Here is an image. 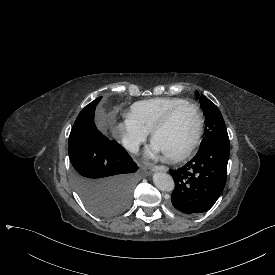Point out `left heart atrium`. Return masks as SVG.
<instances>
[{
  "label": "left heart atrium",
  "instance_id": "39dd6f15",
  "mask_svg": "<svg viewBox=\"0 0 275 275\" xmlns=\"http://www.w3.org/2000/svg\"><path fill=\"white\" fill-rule=\"evenodd\" d=\"M158 154H161V151L155 145L152 144L151 151H150L149 155L156 156Z\"/></svg>",
  "mask_w": 275,
  "mask_h": 275
}]
</instances>
